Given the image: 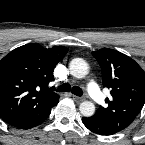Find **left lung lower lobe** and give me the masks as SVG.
<instances>
[{
  "mask_svg": "<svg viewBox=\"0 0 145 145\" xmlns=\"http://www.w3.org/2000/svg\"><path fill=\"white\" fill-rule=\"evenodd\" d=\"M82 122L90 131L99 135H113L118 132L109 126L102 124L94 116L88 118L83 117Z\"/></svg>",
  "mask_w": 145,
  "mask_h": 145,
  "instance_id": "0a47b994",
  "label": "left lung lower lobe"
}]
</instances>
